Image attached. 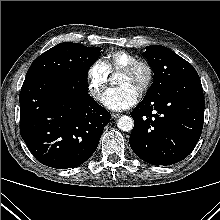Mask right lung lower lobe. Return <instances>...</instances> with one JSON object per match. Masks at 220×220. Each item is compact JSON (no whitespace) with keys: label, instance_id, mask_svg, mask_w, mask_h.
Here are the masks:
<instances>
[{"label":"right lung lower lobe","instance_id":"98d812e1","mask_svg":"<svg viewBox=\"0 0 220 220\" xmlns=\"http://www.w3.org/2000/svg\"><path fill=\"white\" fill-rule=\"evenodd\" d=\"M110 113L88 94L84 75L26 77L20 92V133L42 164L74 168L96 150Z\"/></svg>","mask_w":220,"mask_h":220}]
</instances>
